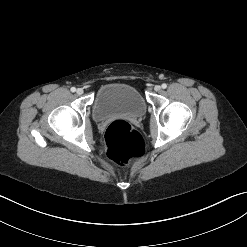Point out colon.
Wrapping results in <instances>:
<instances>
[{
    "instance_id": "obj_1",
    "label": "colon",
    "mask_w": 247,
    "mask_h": 247,
    "mask_svg": "<svg viewBox=\"0 0 247 247\" xmlns=\"http://www.w3.org/2000/svg\"><path fill=\"white\" fill-rule=\"evenodd\" d=\"M104 140L107 156L118 165L124 166L143 153L142 137L127 121L111 123L105 131Z\"/></svg>"
}]
</instances>
